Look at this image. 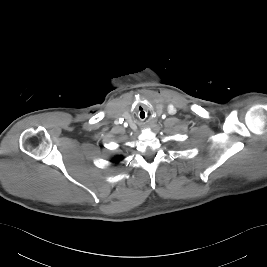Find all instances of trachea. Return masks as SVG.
I'll return each mask as SVG.
<instances>
[{
    "instance_id": "1",
    "label": "trachea",
    "mask_w": 267,
    "mask_h": 267,
    "mask_svg": "<svg viewBox=\"0 0 267 267\" xmlns=\"http://www.w3.org/2000/svg\"><path fill=\"white\" fill-rule=\"evenodd\" d=\"M138 118L141 120V121H145L146 120V114H145V111H140L138 114H137Z\"/></svg>"
}]
</instances>
